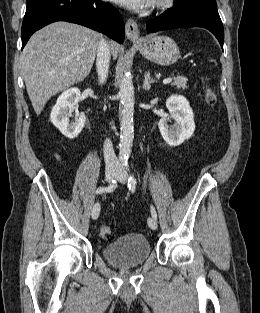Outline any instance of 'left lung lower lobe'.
<instances>
[{"mask_svg":"<svg viewBox=\"0 0 260 313\" xmlns=\"http://www.w3.org/2000/svg\"><path fill=\"white\" fill-rule=\"evenodd\" d=\"M203 27L213 33L223 48L224 29L218 11L180 8L174 5L147 23L148 33L174 28Z\"/></svg>","mask_w":260,"mask_h":313,"instance_id":"0a47b994","label":"left lung lower lobe"}]
</instances>
